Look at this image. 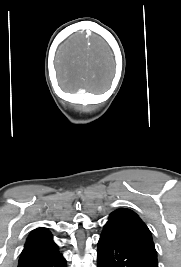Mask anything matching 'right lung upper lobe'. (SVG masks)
<instances>
[{
    "label": "right lung upper lobe",
    "instance_id": "cb5924a9",
    "mask_svg": "<svg viewBox=\"0 0 181 267\" xmlns=\"http://www.w3.org/2000/svg\"><path fill=\"white\" fill-rule=\"evenodd\" d=\"M28 248H43V249H56L57 245L52 240L51 233L45 228H37L32 231L27 238L24 249Z\"/></svg>",
    "mask_w": 181,
    "mask_h": 267
}]
</instances>
